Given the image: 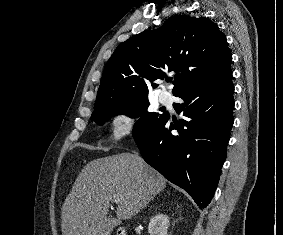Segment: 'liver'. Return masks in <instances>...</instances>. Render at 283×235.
Masks as SVG:
<instances>
[{"label": "liver", "mask_w": 283, "mask_h": 235, "mask_svg": "<svg viewBox=\"0 0 283 235\" xmlns=\"http://www.w3.org/2000/svg\"><path fill=\"white\" fill-rule=\"evenodd\" d=\"M165 187V178L138 154L90 161L63 204L62 235H110L107 214L114 197L120 199L117 220H128Z\"/></svg>", "instance_id": "6515ba94"}]
</instances>
